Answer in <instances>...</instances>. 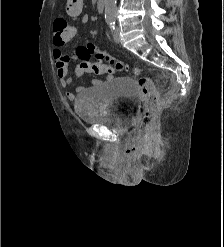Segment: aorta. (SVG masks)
<instances>
[{
	"label": "aorta",
	"instance_id": "obj_1",
	"mask_svg": "<svg viewBox=\"0 0 224 247\" xmlns=\"http://www.w3.org/2000/svg\"><path fill=\"white\" fill-rule=\"evenodd\" d=\"M116 0H105V20H115Z\"/></svg>",
	"mask_w": 224,
	"mask_h": 247
}]
</instances>
